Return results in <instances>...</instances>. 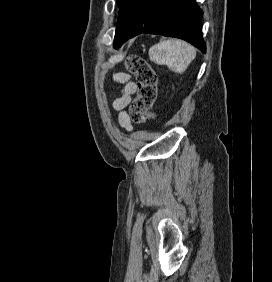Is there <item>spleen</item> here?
Segmentation results:
<instances>
[{
  "instance_id": "3e777b00",
  "label": "spleen",
  "mask_w": 272,
  "mask_h": 282,
  "mask_svg": "<svg viewBox=\"0 0 272 282\" xmlns=\"http://www.w3.org/2000/svg\"><path fill=\"white\" fill-rule=\"evenodd\" d=\"M195 55L196 51L193 46L175 39L161 41L149 49L150 60L157 64H166L176 73H183Z\"/></svg>"
}]
</instances>
